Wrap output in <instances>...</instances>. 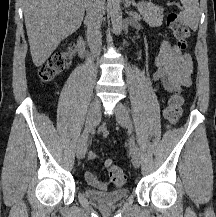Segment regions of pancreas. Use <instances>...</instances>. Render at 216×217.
<instances>
[{"instance_id":"pancreas-1","label":"pancreas","mask_w":216,"mask_h":217,"mask_svg":"<svg viewBox=\"0 0 216 217\" xmlns=\"http://www.w3.org/2000/svg\"><path fill=\"white\" fill-rule=\"evenodd\" d=\"M138 10L143 17V20L151 27H158L162 25L163 8L155 6L152 3H139Z\"/></svg>"}]
</instances>
